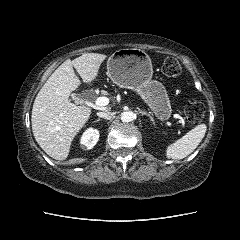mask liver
<instances>
[{"label":"liver","mask_w":240,"mask_h":240,"mask_svg":"<svg viewBox=\"0 0 240 240\" xmlns=\"http://www.w3.org/2000/svg\"><path fill=\"white\" fill-rule=\"evenodd\" d=\"M106 55L84 53L73 61L66 60L49 77L37 94L31 115L32 131L39 146L53 159L65 160L77 133L91 115V109L69 101L80 79L91 83L98 76Z\"/></svg>","instance_id":"6515ba94"}]
</instances>
